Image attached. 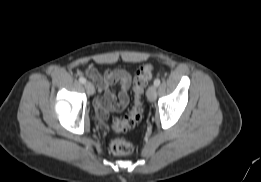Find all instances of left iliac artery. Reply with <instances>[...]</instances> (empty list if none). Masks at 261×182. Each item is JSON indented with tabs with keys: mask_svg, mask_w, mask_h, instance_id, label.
<instances>
[{
	"mask_svg": "<svg viewBox=\"0 0 261 182\" xmlns=\"http://www.w3.org/2000/svg\"><path fill=\"white\" fill-rule=\"evenodd\" d=\"M154 85L155 86H159L160 85V79L159 78L154 80Z\"/></svg>",
	"mask_w": 261,
	"mask_h": 182,
	"instance_id": "obj_1",
	"label": "left iliac artery"
}]
</instances>
